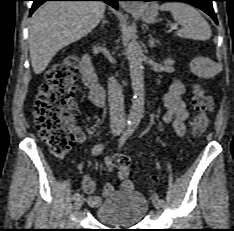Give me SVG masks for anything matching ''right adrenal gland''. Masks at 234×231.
Masks as SVG:
<instances>
[{"mask_svg":"<svg viewBox=\"0 0 234 231\" xmlns=\"http://www.w3.org/2000/svg\"><path fill=\"white\" fill-rule=\"evenodd\" d=\"M106 23H108V21H107L105 18H103V19H102V25H101V27H104V25H105Z\"/></svg>","mask_w":234,"mask_h":231,"instance_id":"2a0ac1e0","label":"right adrenal gland"}]
</instances>
